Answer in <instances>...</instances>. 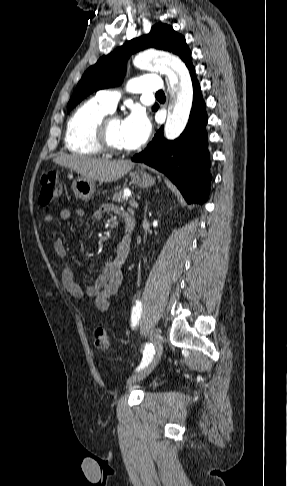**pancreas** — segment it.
Returning <instances> with one entry per match:
<instances>
[{
	"instance_id": "obj_1",
	"label": "pancreas",
	"mask_w": 287,
	"mask_h": 486,
	"mask_svg": "<svg viewBox=\"0 0 287 486\" xmlns=\"http://www.w3.org/2000/svg\"><path fill=\"white\" fill-rule=\"evenodd\" d=\"M112 200L114 202L126 204L127 197L124 195L123 191H119L118 193H114Z\"/></svg>"
}]
</instances>
